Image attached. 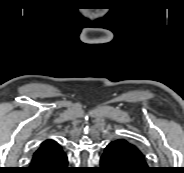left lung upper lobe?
I'll list each match as a JSON object with an SVG mask.
<instances>
[{
  "instance_id": "1",
  "label": "left lung upper lobe",
  "mask_w": 184,
  "mask_h": 173,
  "mask_svg": "<svg viewBox=\"0 0 184 173\" xmlns=\"http://www.w3.org/2000/svg\"><path fill=\"white\" fill-rule=\"evenodd\" d=\"M133 146L144 156V154L141 152V150L136 145L133 144Z\"/></svg>"
}]
</instances>
